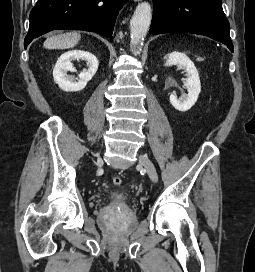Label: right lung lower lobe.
I'll use <instances>...</instances> for the list:
<instances>
[{
    "instance_id": "1",
    "label": "right lung lower lobe",
    "mask_w": 255,
    "mask_h": 272,
    "mask_svg": "<svg viewBox=\"0 0 255 272\" xmlns=\"http://www.w3.org/2000/svg\"><path fill=\"white\" fill-rule=\"evenodd\" d=\"M127 0H38L30 13L24 47L34 39L57 29L85 30L113 40L118 11Z\"/></svg>"
}]
</instances>
